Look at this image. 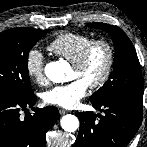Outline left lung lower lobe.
<instances>
[{
    "instance_id": "left-lung-lower-lobe-1",
    "label": "left lung lower lobe",
    "mask_w": 147,
    "mask_h": 147,
    "mask_svg": "<svg viewBox=\"0 0 147 147\" xmlns=\"http://www.w3.org/2000/svg\"><path fill=\"white\" fill-rule=\"evenodd\" d=\"M93 103L104 112L77 113L80 129L74 147H126L142 122L143 107L128 100Z\"/></svg>"
}]
</instances>
